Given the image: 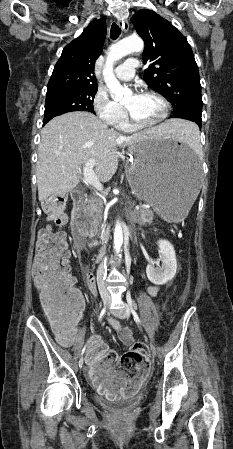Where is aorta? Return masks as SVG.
<instances>
[{
    "label": "aorta",
    "instance_id": "762f6f07",
    "mask_svg": "<svg viewBox=\"0 0 233 449\" xmlns=\"http://www.w3.org/2000/svg\"><path fill=\"white\" fill-rule=\"evenodd\" d=\"M143 48L144 43L142 39H140L138 36L127 37L110 47L105 68L103 70V77L106 86L108 87L109 92L111 94V97L114 100L119 101L124 97L130 96L132 94L129 88L123 87L120 84V82L116 79L113 73L114 63L128 54L134 52H141ZM122 244H123L122 224L121 222L117 221L114 229V249L117 255H119L121 252Z\"/></svg>",
    "mask_w": 233,
    "mask_h": 449
}]
</instances>
